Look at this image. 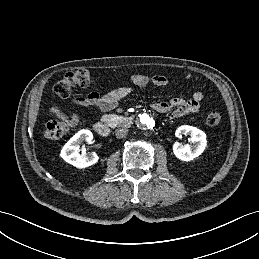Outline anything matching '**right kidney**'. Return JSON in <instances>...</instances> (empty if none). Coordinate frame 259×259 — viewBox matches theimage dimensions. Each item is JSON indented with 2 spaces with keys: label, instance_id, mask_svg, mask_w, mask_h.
<instances>
[{
  "label": "right kidney",
  "instance_id": "ca27d5eb",
  "mask_svg": "<svg viewBox=\"0 0 259 259\" xmlns=\"http://www.w3.org/2000/svg\"><path fill=\"white\" fill-rule=\"evenodd\" d=\"M93 134L90 130L78 131L62 148L60 156L69 164L77 168H86L95 164L99 157L96 153L88 155L79 154V144L83 141L91 142Z\"/></svg>",
  "mask_w": 259,
  "mask_h": 259
}]
</instances>
